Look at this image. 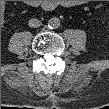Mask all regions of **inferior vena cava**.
Returning <instances> with one entry per match:
<instances>
[{"label":"inferior vena cava","instance_id":"602c4592","mask_svg":"<svg viewBox=\"0 0 109 109\" xmlns=\"http://www.w3.org/2000/svg\"><path fill=\"white\" fill-rule=\"evenodd\" d=\"M28 25H29V27L37 28V27L41 26V21L37 18H32L29 20Z\"/></svg>","mask_w":109,"mask_h":109}]
</instances>
